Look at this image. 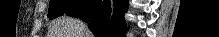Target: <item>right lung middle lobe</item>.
I'll return each instance as SVG.
<instances>
[{
  "label": "right lung middle lobe",
  "mask_w": 219,
  "mask_h": 37,
  "mask_svg": "<svg viewBox=\"0 0 219 37\" xmlns=\"http://www.w3.org/2000/svg\"><path fill=\"white\" fill-rule=\"evenodd\" d=\"M82 1L83 0H52L49 4V12L47 16L50 19L62 16L79 5Z\"/></svg>",
  "instance_id": "1"
}]
</instances>
